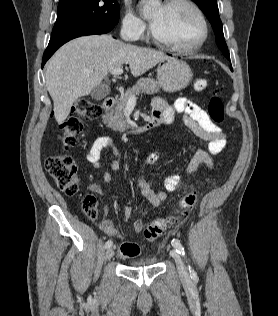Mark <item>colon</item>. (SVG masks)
Here are the masks:
<instances>
[{"label": "colon", "mask_w": 278, "mask_h": 316, "mask_svg": "<svg viewBox=\"0 0 278 316\" xmlns=\"http://www.w3.org/2000/svg\"><path fill=\"white\" fill-rule=\"evenodd\" d=\"M207 80L197 79L194 82V89L197 92L207 87ZM208 113L212 121L221 123L224 120V105L218 96H213L208 104ZM100 115L97 106L87 99L78 100L72 108L71 115L60 124L62 131L61 142L65 149L73 147L77 137L83 130L82 119L94 120ZM45 168L58 188L67 196H75L79 191L78 168L68 153H61L49 156L45 161ZM197 193L190 191L180 200L181 214L185 215L196 204ZM83 210L91 219L99 217V208L96 198L93 195H86L83 199ZM173 218H157L150 222L145 230L144 236L148 241H155L171 225ZM120 252L125 257H133L139 254V246L132 242H124L120 246Z\"/></svg>", "instance_id": "5ec220e1"}]
</instances>
